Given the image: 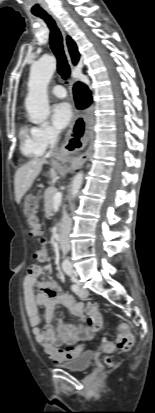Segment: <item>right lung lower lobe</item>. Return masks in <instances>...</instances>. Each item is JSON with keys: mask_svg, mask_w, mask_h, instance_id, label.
Wrapping results in <instances>:
<instances>
[{"mask_svg": "<svg viewBox=\"0 0 155 413\" xmlns=\"http://www.w3.org/2000/svg\"><path fill=\"white\" fill-rule=\"evenodd\" d=\"M74 99L78 109H84L91 103V93L89 89L80 82L74 85Z\"/></svg>", "mask_w": 155, "mask_h": 413, "instance_id": "obj_1", "label": "right lung lower lobe"}]
</instances>
